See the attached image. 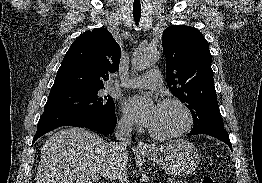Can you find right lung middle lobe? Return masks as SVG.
I'll use <instances>...</instances> for the list:
<instances>
[{"mask_svg": "<svg viewBox=\"0 0 262 183\" xmlns=\"http://www.w3.org/2000/svg\"><path fill=\"white\" fill-rule=\"evenodd\" d=\"M103 87L67 89L50 92L44 112L74 111L82 113H104L115 110L110 95L102 94Z\"/></svg>", "mask_w": 262, "mask_h": 183, "instance_id": "1", "label": "right lung middle lobe"}]
</instances>
